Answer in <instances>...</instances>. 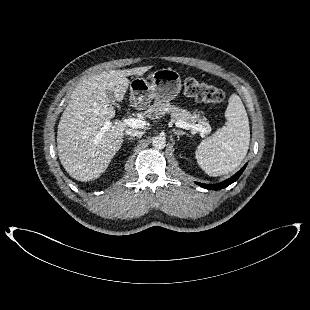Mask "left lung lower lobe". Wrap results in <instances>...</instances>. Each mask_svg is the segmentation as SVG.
<instances>
[{
  "label": "left lung lower lobe",
  "mask_w": 310,
  "mask_h": 310,
  "mask_svg": "<svg viewBox=\"0 0 310 310\" xmlns=\"http://www.w3.org/2000/svg\"><path fill=\"white\" fill-rule=\"evenodd\" d=\"M245 168H246V165L240 171H238L235 175H233L231 178H229V179H227L221 183H218V184L197 183V184L200 185L201 187L205 188V189H208V190H219V189L225 188L228 185L235 182L240 177V175L243 173Z\"/></svg>",
  "instance_id": "obj_1"
}]
</instances>
